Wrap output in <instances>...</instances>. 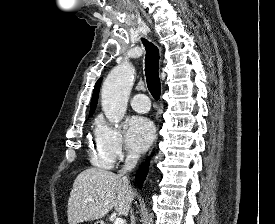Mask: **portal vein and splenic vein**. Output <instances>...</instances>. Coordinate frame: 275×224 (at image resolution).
Instances as JSON below:
<instances>
[{
    "label": "portal vein and splenic vein",
    "mask_w": 275,
    "mask_h": 224,
    "mask_svg": "<svg viewBox=\"0 0 275 224\" xmlns=\"http://www.w3.org/2000/svg\"><path fill=\"white\" fill-rule=\"evenodd\" d=\"M114 224H125V220L122 218H116Z\"/></svg>",
    "instance_id": "1"
}]
</instances>
